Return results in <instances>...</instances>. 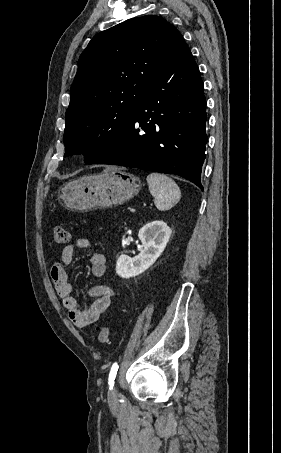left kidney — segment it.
I'll use <instances>...</instances> for the list:
<instances>
[{"mask_svg":"<svg viewBox=\"0 0 281 453\" xmlns=\"http://www.w3.org/2000/svg\"><path fill=\"white\" fill-rule=\"evenodd\" d=\"M171 233L170 227L164 220H152V222L144 224L138 233L142 251L133 259L128 255H120L115 269L117 275L122 279H130V277H137L147 271L162 255L169 243Z\"/></svg>","mask_w":281,"mask_h":453,"instance_id":"obj_1","label":"left kidney"}]
</instances>
